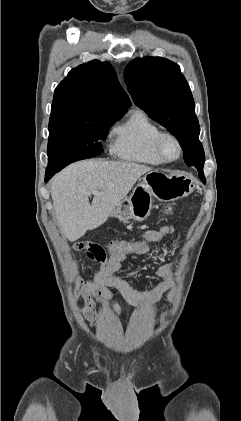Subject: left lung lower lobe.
Instances as JSON below:
<instances>
[{
	"instance_id": "1",
	"label": "left lung lower lobe",
	"mask_w": 241,
	"mask_h": 421,
	"mask_svg": "<svg viewBox=\"0 0 241 421\" xmlns=\"http://www.w3.org/2000/svg\"><path fill=\"white\" fill-rule=\"evenodd\" d=\"M188 166H194L193 164H191V163H186ZM199 169V177H200V179L205 183V178H204V174H203V169H201V168H198Z\"/></svg>"
}]
</instances>
